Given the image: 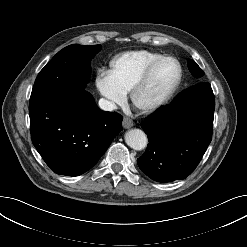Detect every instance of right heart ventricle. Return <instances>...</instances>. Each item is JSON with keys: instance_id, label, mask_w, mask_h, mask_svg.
Wrapping results in <instances>:
<instances>
[{"instance_id": "1", "label": "right heart ventricle", "mask_w": 247, "mask_h": 247, "mask_svg": "<svg viewBox=\"0 0 247 247\" xmlns=\"http://www.w3.org/2000/svg\"><path fill=\"white\" fill-rule=\"evenodd\" d=\"M161 54L148 50L122 53L111 61V74L115 82L125 91H131L144 69Z\"/></svg>"}]
</instances>
